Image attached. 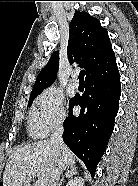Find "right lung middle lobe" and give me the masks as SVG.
I'll return each mask as SVG.
<instances>
[{
    "mask_svg": "<svg viewBox=\"0 0 138 186\" xmlns=\"http://www.w3.org/2000/svg\"><path fill=\"white\" fill-rule=\"evenodd\" d=\"M39 94H33V95H30V99H29V102H28V106L31 105L33 99H35Z\"/></svg>",
    "mask_w": 138,
    "mask_h": 186,
    "instance_id": "right-lung-middle-lobe-1",
    "label": "right lung middle lobe"
}]
</instances>
